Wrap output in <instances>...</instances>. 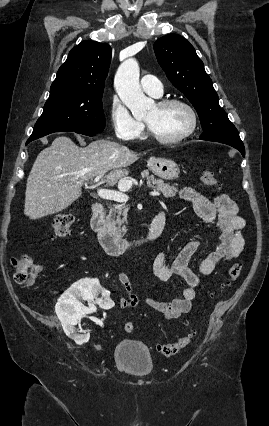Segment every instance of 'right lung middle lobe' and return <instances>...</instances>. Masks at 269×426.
<instances>
[{
    "label": "right lung middle lobe",
    "instance_id": "1",
    "mask_svg": "<svg viewBox=\"0 0 269 426\" xmlns=\"http://www.w3.org/2000/svg\"><path fill=\"white\" fill-rule=\"evenodd\" d=\"M105 124L102 95L65 91L50 93L28 140L63 131L98 133L104 130Z\"/></svg>",
    "mask_w": 269,
    "mask_h": 426
}]
</instances>
